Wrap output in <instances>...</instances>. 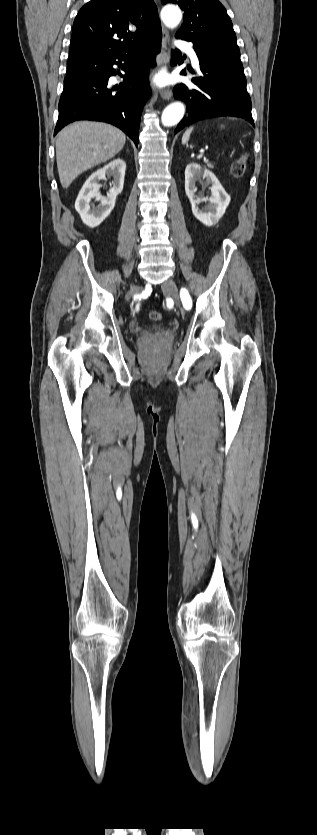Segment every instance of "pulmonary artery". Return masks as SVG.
I'll return each mask as SVG.
<instances>
[{
    "instance_id": "pulmonary-artery-1",
    "label": "pulmonary artery",
    "mask_w": 317,
    "mask_h": 835,
    "mask_svg": "<svg viewBox=\"0 0 317 835\" xmlns=\"http://www.w3.org/2000/svg\"><path fill=\"white\" fill-rule=\"evenodd\" d=\"M177 46H178V48H180L184 52L188 53V55L190 56V58L192 60L193 65H195V66L199 65V60H198L197 54L194 51L193 47L189 43L179 42L177 44Z\"/></svg>"
}]
</instances>
